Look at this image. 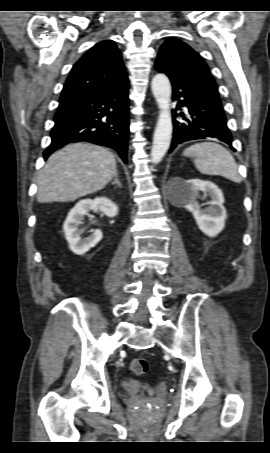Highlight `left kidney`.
I'll return each mask as SVG.
<instances>
[{
	"instance_id": "5707ae66",
	"label": "left kidney",
	"mask_w": 270,
	"mask_h": 453,
	"mask_svg": "<svg viewBox=\"0 0 270 453\" xmlns=\"http://www.w3.org/2000/svg\"><path fill=\"white\" fill-rule=\"evenodd\" d=\"M200 192L211 197L205 209H201L197 202ZM180 202L193 214L198 228L207 236L215 237L224 229L227 218V212L223 206L224 197L214 183L199 179L184 181Z\"/></svg>"
}]
</instances>
